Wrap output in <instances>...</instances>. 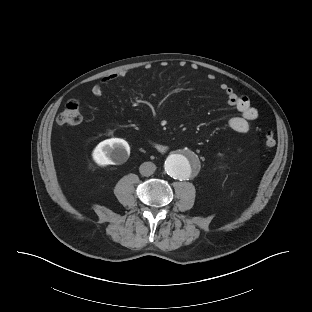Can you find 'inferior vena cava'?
Returning a JSON list of instances; mask_svg holds the SVG:
<instances>
[{
	"label": "inferior vena cava",
	"mask_w": 312,
	"mask_h": 312,
	"mask_svg": "<svg viewBox=\"0 0 312 312\" xmlns=\"http://www.w3.org/2000/svg\"><path fill=\"white\" fill-rule=\"evenodd\" d=\"M156 170V165L152 162H144L140 165L139 171L143 176H150Z\"/></svg>",
	"instance_id": "602c4592"
}]
</instances>
